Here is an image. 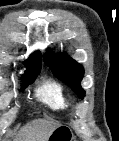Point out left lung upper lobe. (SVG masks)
Masks as SVG:
<instances>
[{
    "label": "left lung upper lobe",
    "instance_id": "5c2ea615",
    "mask_svg": "<svg viewBox=\"0 0 119 141\" xmlns=\"http://www.w3.org/2000/svg\"><path fill=\"white\" fill-rule=\"evenodd\" d=\"M44 60L58 79L68 84L80 98H83L85 91L81 88L80 82L84 69L80 64L65 53L54 54L48 52L45 54Z\"/></svg>",
    "mask_w": 119,
    "mask_h": 141
}]
</instances>
